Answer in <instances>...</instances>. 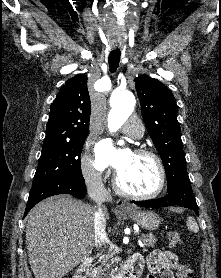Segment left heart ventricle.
Returning <instances> with one entry per match:
<instances>
[{
	"mask_svg": "<svg viewBox=\"0 0 221 278\" xmlns=\"http://www.w3.org/2000/svg\"><path fill=\"white\" fill-rule=\"evenodd\" d=\"M121 185L132 192L149 193L157 188L159 170L156 162L143 155L130 153L118 170Z\"/></svg>",
	"mask_w": 221,
	"mask_h": 278,
	"instance_id": "b2bd125f",
	"label": "left heart ventricle"
}]
</instances>
